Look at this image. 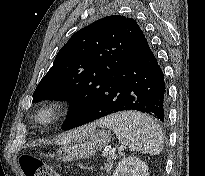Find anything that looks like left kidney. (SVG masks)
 <instances>
[{
    "mask_svg": "<svg viewBox=\"0 0 205 176\" xmlns=\"http://www.w3.org/2000/svg\"><path fill=\"white\" fill-rule=\"evenodd\" d=\"M113 176H148V166L137 157H124L119 161Z\"/></svg>",
    "mask_w": 205,
    "mask_h": 176,
    "instance_id": "obj_1",
    "label": "left kidney"
}]
</instances>
